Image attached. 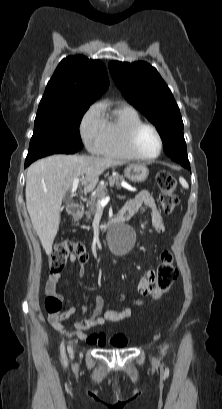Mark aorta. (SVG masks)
<instances>
[{
	"label": "aorta",
	"mask_w": 222,
	"mask_h": 409,
	"mask_svg": "<svg viewBox=\"0 0 222 409\" xmlns=\"http://www.w3.org/2000/svg\"><path fill=\"white\" fill-rule=\"evenodd\" d=\"M131 234L130 229L124 225H118L112 232L111 243L113 248L121 254L129 251L131 243L128 242V238Z\"/></svg>",
	"instance_id": "obj_1"
}]
</instances>
